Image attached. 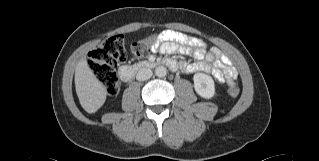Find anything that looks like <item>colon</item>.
Returning a JSON list of instances; mask_svg holds the SVG:
<instances>
[{
  "label": "colon",
  "mask_w": 319,
  "mask_h": 161,
  "mask_svg": "<svg viewBox=\"0 0 319 161\" xmlns=\"http://www.w3.org/2000/svg\"><path fill=\"white\" fill-rule=\"evenodd\" d=\"M159 43V38L150 35L133 43L132 52L137 58L145 57L151 49ZM126 58V47L121 35L108 37L100 46L92 50L88 61L93 73L105 87L107 94L114 95L119 90V81L116 73V66ZM228 94L236 97L239 94V87L232 83L228 87Z\"/></svg>",
  "instance_id": "5ec220e1"
}]
</instances>
